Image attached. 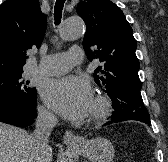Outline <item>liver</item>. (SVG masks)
I'll use <instances>...</instances> for the list:
<instances>
[{"label": "liver", "mask_w": 168, "mask_h": 162, "mask_svg": "<svg viewBox=\"0 0 168 162\" xmlns=\"http://www.w3.org/2000/svg\"><path fill=\"white\" fill-rule=\"evenodd\" d=\"M30 135L23 129L0 122V162H28ZM52 161V149L45 162Z\"/></svg>", "instance_id": "liver-1"}]
</instances>
